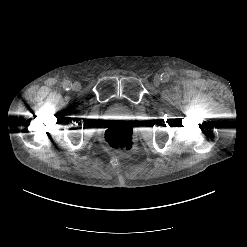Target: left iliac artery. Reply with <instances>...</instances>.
<instances>
[{"label":"left iliac artery","mask_w":247,"mask_h":247,"mask_svg":"<svg viewBox=\"0 0 247 247\" xmlns=\"http://www.w3.org/2000/svg\"><path fill=\"white\" fill-rule=\"evenodd\" d=\"M161 80H163V82H167V81L169 80V75L163 73V74L161 75Z\"/></svg>","instance_id":"obj_1"}]
</instances>
